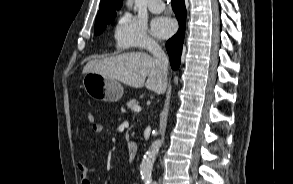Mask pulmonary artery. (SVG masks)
I'll return each mask as SVG.
<instances>
[{
	"label": "pulmonary artery",
	"instance_id": "1",
	"mask_svg": "<svg viewBox=\"0 0 293 184\" xmlns=\"http://www.w3.org/2000/svg\"><path fill=\"white\" fill-rule=\"evenodd\" d=\"M148 8L152 13L158 14L164 11L165 5L162 0H149Z\"/></svg>",
	"mask_w": 293,
	"mask_h": 184
}]
</instances>
